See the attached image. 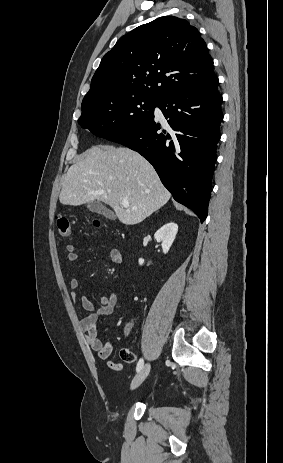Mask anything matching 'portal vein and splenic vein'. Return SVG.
<instances>
[{
	"instance_id": "1",
	"label": "portal vein and splenic vein",
	"mask_w": 283,
	"mask_h": 463,
	"mask_svg": "<svg viewBox=\"0 0 283 463\" xmlns=\"http://www.w3.org/2000/svg\"><path fill=\"white\" fill-rule=\"evenodd\" d=\"M121 204H122V206H124V207H128V206H129V203H128V201H127L126 199L121 200Z\"/></svg>"
}]
</instances>
